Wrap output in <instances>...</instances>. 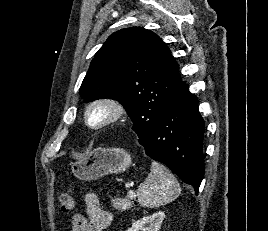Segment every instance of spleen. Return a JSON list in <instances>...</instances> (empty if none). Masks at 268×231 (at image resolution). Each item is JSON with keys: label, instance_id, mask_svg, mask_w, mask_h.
I'll list each match as a JSON object with an SVG mask.
<instances>
[{"label": "spleen", "instance_id": "1", "mask_svg": "<svg viewBox=\"0 0 268 231\" xmlns=\"http://www.w3.org/2000/svg\"><path fill=\"white\" fill-rule=\"evenodd\" d=\"M180 192V184L173 174L164 165L153 161L151 172L140 184L136 196L140 206L156 208L174 201ZM112 202L114 207L122 210L132 207L128 199H115Z\"/></svg>", "mask_w": 268, "mask_h": 231}]
</instances>
